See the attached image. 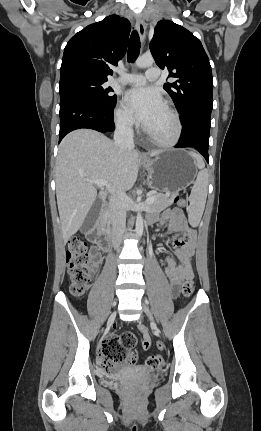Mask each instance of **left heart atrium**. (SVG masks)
<instances>
[{"instance_id": "1", "label": "left heart atrium", "mask_w": 261, "mask_h": 431, "mask_svg": "<svg viewBox=\"0 0 261 431\" xmlns=\"http://www.w3.org/2000/svg\"><path fill=\"white\" fill-rule=\"evenodd\" d=\"M125 101L136 119L146 128L165 106L160 93L150 87L130 89L125 94Z\"/></svg>"}]
</instances>
